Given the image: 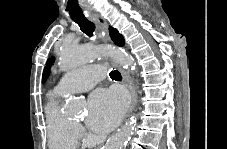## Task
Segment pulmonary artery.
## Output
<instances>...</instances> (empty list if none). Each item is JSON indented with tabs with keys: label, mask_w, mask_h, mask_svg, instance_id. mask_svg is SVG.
<instances>
[{
	"label": "pulmonary artery",
	"mask_w": 227,
	"mask_h": 149,
	"mask_svg": "<svg viewBox=\"0 0 227 149\" xmlns=\"http://www.w3.org/2000/svg\"><path fill=\"white\" fill-rule=\"evenodd\" d=\"M104 75L100 66L91 65L73 69L66 73L55 86L60 94L85 92L95 86Z\"/></svg>",
	"instance_id": "pulmonary-artery-1"
}]
</instances>
